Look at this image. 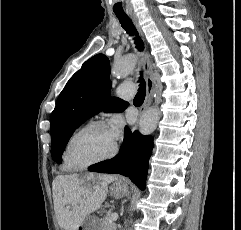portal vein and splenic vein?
<instances>
[{
	"label": "portal vein and splenic vein",
	"instance_id": "obj_1",
	"mask_svg": "<svg viewBox=\"0 0 241 230\" xmlns=\"http://www.w3.org/2000/svg\"><path fill=\"white\" fill-rule=\"evenodd\" d=\"M111 219H112L113 221H116V220L118 219V214H117V213H113V214L111 215Z\"/></svg>",
	"mask_w": 241,
	"mask_h": 230
}]
</instances>
